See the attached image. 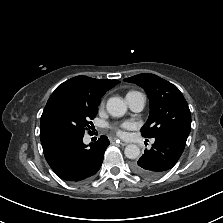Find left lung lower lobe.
I'll list each match as a JSON object with an SVG mask.
<instances>
[{
	"label": "left lung lower lobe",
	"instance_id": "obj_1",
	"mask_svg": "<svg viewBox=\"0 0 223 223\" xmlns=\"http://www.w3.org/2000/svg\"><path fill=\"white\" fill-rule=\"evenodd\" d=\"M151 149L133 163V171L142 177L154 178L171 169L183 153L186 138L173 133H166L154 138Z\"/></svg>",
	"mask_w": 223,
	"mask_h": 223
}]
</instances>
